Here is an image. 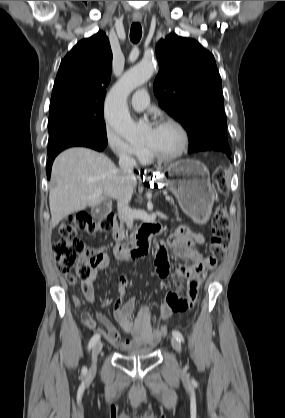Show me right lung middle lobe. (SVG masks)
I'll list each match as a JSON object with an SVG mask.
<instances>
[{
  "label": "right lung middle lobe",
  "mask_w": 285,
  "mask_h": 418,
  "mask_svg": "<svg viewBox=\"0 0 285 418\" xmlns=\"http://www.w3.org/2000/svg\"><path fill=\"white\" fill-rule=\"evenodd\" d=\"M48 155L80 140L107 145L102 104L57 102L50 104Z\"/></svg>",
  "instance_id": "obj_1"
}]
</instances>
